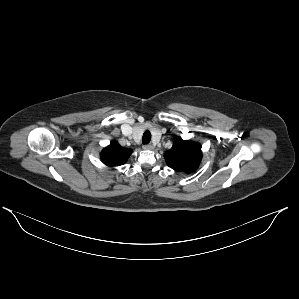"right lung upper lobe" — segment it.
Wrapping results in <instances>:
<instances>
[{"instance_id": "right-lung-upper-lobe-1", "label": "right lung upper lobe", "mask_w": 299, "mask_h": 299, "mask_svg": "<svg viewBox=\"0 0 299 299\" xmlns=\"http://www.w3.org/2000/svg\"><path fill=\"white\" fill-rule=\"evenodd\" d=\"M131 153V149L123 148L116 141H113L101 152L100 157L105 165L113 167L124 164Z\"/></svg>"}]
</instances>
